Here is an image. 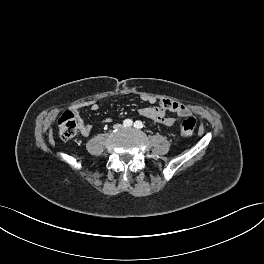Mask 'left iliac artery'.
<instances>
[{
    "mask_svg": "<svg viewBox=\"0 0 264 264\" xmlns=\"http://www.w3.org/2000/svg\"><path fill=\"white\" fill-rule=\"evenodd\" d=\"M134 127L137 129H141L143 127V123L141 121H136Z\"/></svg>",
    "mask_w": 264,
    "mask_h": 264,
    "instance_id": "obj_1",
    "label": "left iliac artery"
}]
</instances>
